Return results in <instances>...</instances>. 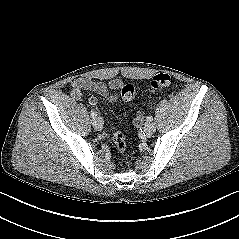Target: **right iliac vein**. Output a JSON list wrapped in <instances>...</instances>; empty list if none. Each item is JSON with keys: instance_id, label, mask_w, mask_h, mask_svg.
Listing matches in <instances>:
<instances>
[{"instance_id": "63e3f726", "label": "right iliac vein", "mask_w": 239, "mask_h": 239, "mask_svg": "<svg viewBox=\"0 0 239 239\" xmlns=\"http://www.w3.org/2000/svg\"><path fill=\"white\" fill-rule=\"evenodd\" d=\"M92 125H93L95 130L101 131L103 129V120H102V118L101 117H97V118L93 119Z\"/></svg>"}]
</instances>
